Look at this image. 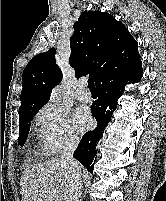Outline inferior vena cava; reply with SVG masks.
I'll list each match as a JSON object with an SVG mask.
<instances>
[{
  "label": "inferior vena cava",
  "mask_w": 166,
  "mask_h": 201,
  "mask_svg": "<svg viewBox=\"0 0 166 201\" xmlns=\"http://www.w3.org/2000/svg\"><path fill=\"white\" fill-rule=\"evenodd\" d=\"M78 144V138H69L61 156V160L63 162H67L72 171L73 185L68 201H80L81 197L82 180L80 166L79 163L73 158L74 151L76 150Z\"/></svg>",
  "instance_id": "1"
}]
</instances>
